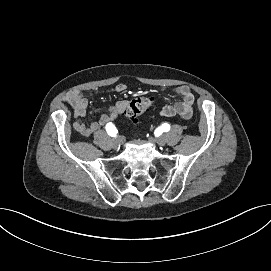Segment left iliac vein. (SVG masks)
<instances>
[{"label": "left iliac vein", "instance_id": "left-iliac-vein-1", "mask_svg": "<svg viewBox=\"0 0 271 271\" xmlns=\"http://www.w3.org/2000/svg\"><path fill=\"white\" fill-rule=\"evenodd\" d=\"M155 142L160 146H164L166 144V137L165 136H159L157 138H151V142Z\"/></svg>", "mask_w": 271, "mask_h": 271}]
</instances>
